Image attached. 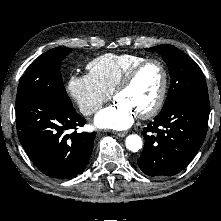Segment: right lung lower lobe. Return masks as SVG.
<instances>
[{
	"instance_id": "1",
	"label": "right lung lower lobe",
	"mask_w": 221,
	"mask_h": 221,
	"mask_svg": "<svg viewBox=\"0 0 221 221\" xmlns=\"http://www.w3.org/2000/svg\"><path fill=\"white\" fill-rule=\"evenodd\" d=\"M85 123L72 105L49 97L16 105L19 140L36 167L50 177L71 179L85 169L96 133H68Z\"/></svg>"
}]
</instances>
